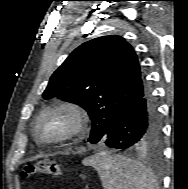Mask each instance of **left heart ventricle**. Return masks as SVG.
<instances>
[{
	"label": "left heart ventricle",
	"instance_id": "b2bd125f",
	"mask_svg": "<svg viewBox=\"0 0 188 189\" xmlns=\"http://www.w3.org/2000/svg\"><path fill=\"white\" fill-rule=\"evenodd\" d=\"M67 125L65 115L51 114L42 119L38 131L41 136L51 138L61 134Z\"/></svg>",
	"mask_w": 188,
	"mask_h": 189
}]
</instances>
